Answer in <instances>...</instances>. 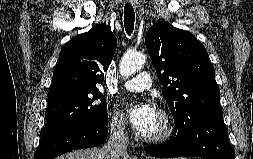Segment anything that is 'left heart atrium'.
I'll list each match as a JSON object with an SVG mask.
<instances>
[{"instance_id":"left-heart-atrium-1","label":"left heart atrium","mask_w":253,"mask_h":159,"mask_svg":"<svg viewBox=\"0 0 253 159\" xmlns=\"http://www.w3.org/2000/svg\"><path fill=\"white\" fill-rule=\"evenodd\" d=\"M127 114L133 126L145 135L154 123L157 111L151 102H140L128 104Z\"/></svg>"}]
</instances>
